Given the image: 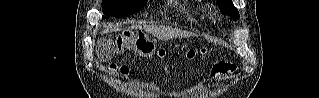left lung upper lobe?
Returning <instances> with one entry per match:
<instances>
[{
  "mask_svg": "<svg viewBox=\"0 0 319 98\" xmlns=\"http://www.w3.org/2000/svg\"><path fill=\"white\" fill-rule=\"evenodd\" d=\"M221 12L228 14L233 19L239 18L238 10L234 7L232 0H217Z\"/></svg>",
  "mask_w": 319,
  "mask_h": 98,
  "instance_id": "1",
  "label": "left lung upper lobe"
}]
</instances>
